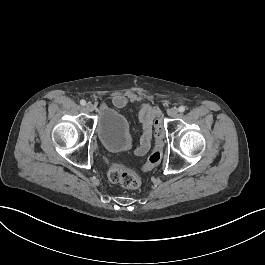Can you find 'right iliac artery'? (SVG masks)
Returning <instances> with one entry per match:
<instances>
[{"mask_svg":"<svg viewBox=\"0 0 265 265\" xmlns=\"http://www.w3.org/2000/svg\"><path fill=\"white\" fill-rule=\"evenodd\" d=\"M80 104H81L82 106H85V105H86V101H85V100H81V101H80Z\"/></svg>","mask_w":265,"mask_h":265,"instance_id":"1","label":"right iliac artery"}]
</instances>
